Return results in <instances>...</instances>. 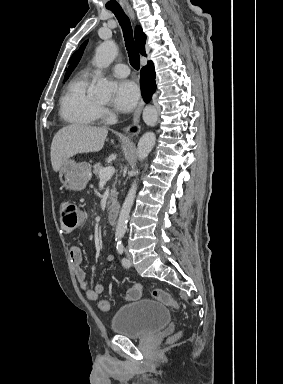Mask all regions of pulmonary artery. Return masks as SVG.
Returning <instances> with one entry per match:
<instances>
[{
    "mask_svg": "<svg viewBox=\"0 0 283 384\" xmlns=\"http://www.w3.org/2000/svg\"><path fill=\"white\" fill-rule=\"evenodd\" d=\"M108 71H110L116 77H126L130 73L129 68L126 65L120 64V63L113 64L108 69ZM100 73H101V70L99 69H93L91 71V74L94 76L99 75Z\"/></svg>",
    "mask_w": 283,
    "mask_h": 384,
    "instance_id": "e3ab8cb5",
    "label": "pulmonary artery"
}]
</instances>
